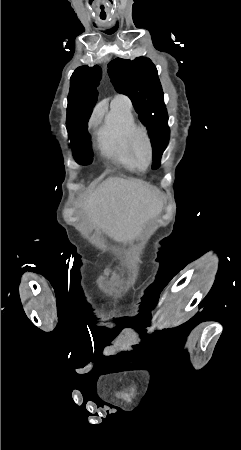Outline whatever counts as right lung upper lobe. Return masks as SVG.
Segmentation results:
<instances>
[{
	"instance_id": "1",
	"label": "right lung upper lobe",
	"mask_w": 241,
	"mask_h": 450,
	"mask_svg": "<svg viewBox=\"0 0 241 450\" xmlns=\"http://www.w3.org/2000/svg\"><path fill=\"white\" fill-rule=\"evenodd\" d=\"M81 72L93 74V75H96V76H99V77H101V74H102L101 68H100L99 66L96 65V66H94V67H88V66H81V67H78V68L74 71V73L72 74V76H74V75H76V74H78V73H81ZM72 76H71V77H72Z\"/></svg>"
}]
</instances>
